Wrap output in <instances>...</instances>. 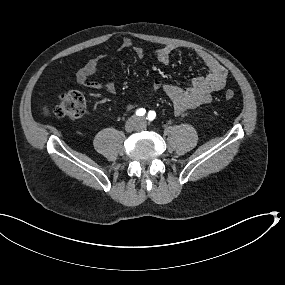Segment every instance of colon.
I'll return each instance as SVG.
<instances>
[{
  "mask_svg": "<svg viewBox=\"0 0 285 285\" xmlns=\"http://www.w3.org/2000/svg\"><path fill=\"white\" fill-rule=\"evenodd\" d=\"M234 96V91L230 89L224 93V97L227 100L233 99ZM85 112V98L82 93L77 90H69L60 94L54 108L56 116L69 120H78L84 116Z\"/></svg>",
  "mask_w": 285,
  "mask_h": 285,
  "instance_id": "5ec220e1",
  "label": "colon"
}]
</instances>
